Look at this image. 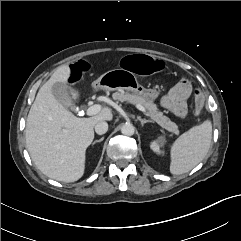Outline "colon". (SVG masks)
Segmentation results:
<instances>
[{
	"instance_id": "5ec220e1",
	"label": "colon",
	"mask_w": 241,
	"mask_h": 241,
	"mask_svg": "<svg viewBox=\"0 0 241 241\" xmlns=\"http://www.w3.org/2000/svg\"><path fill=\"white\" fill-rule=\"evenodd\" d=\"M66 66L72 72V84L77 83L90 72L89 63L83 59H76ZM120 66L125 71H136L141 75L160 74L165 69V62L160 57L135 53L123 55L120 59ZM194 108L196 113L202 112L204 108V97L199 90L194 91Z\"/></svg>"
}]
</instances>
